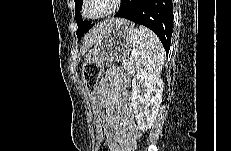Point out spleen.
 <instances>
[{"mask_svg":"<svg viewBox=\"0 0 231 151\" xmlns=\"http://www.w3.org/2000/svg\"><path fill=\"white\" fill-rule=\"evenodd\" d=\"M131 46L138 67H143L149 75L158 76L163 67L165 52L156 34L139 26L131 34Z\"/></svg>","mask_w":231,"mask_h":151,"instance_id":"obj_1","label":"spleen"}]
</instances>
